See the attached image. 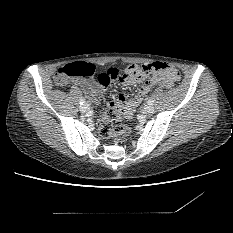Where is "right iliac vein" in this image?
Masks as SVG:
<instances>
[{"label":"right iliac vein","mask_w":233,"mask_h":233,"mask_svg":"<svg viewBox=\"0 0 233 233\" xmlns=\"http://www.w3.org/2000/svg\"><path fill=\"white\" fill-rule=\"evenodd\" d=\"M89 110H90V107H89L88 104H84V105L80 106V111H81L82 113H86V112H88Z\"/></svg>","instance_id":"right-iliac-vein-1"}]
</instances>
